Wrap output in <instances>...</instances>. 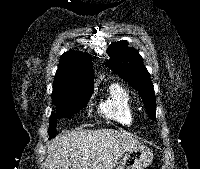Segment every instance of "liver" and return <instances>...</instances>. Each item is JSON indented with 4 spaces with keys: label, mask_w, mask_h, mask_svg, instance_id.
Returning a JSON list of instances; mask_svg holds the SVG:
<instances>
[{
    "label": "liver",
    "mask_w": 200,
    "mask_h": 169,
    "mask_svg": "<svg viewBox=\"0 0 200 169\" xmlns=\"http://www.w3.org/2000/svg\"><path fill=\"white\" fill-rule=\"evenodd\" d=\"M141 143L112 130H73L48 147L46 169H113L123 154Z\"/></svg>",
    "instance_id": "1"
}]
</instances>
